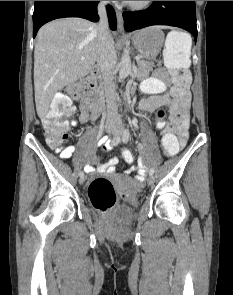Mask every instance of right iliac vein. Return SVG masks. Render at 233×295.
<instances>
[{"label": "right iliac vein", "instance_id": "63e3f726", "mask_svg": "<svg viewBox=\"0 0 233 295\" xmlns=\"http://www.w3.org/2000/svg\"><path fill=\"white\" fill-rule=\"evenodd\" d=\"M116 131H117V129L115 127H113V126H107L106 127V132L109 133V134H114L115 135ZM85 180H86V177L84 175V176L80 177L79 183L82 184V183H84Z\"/></svg>", "mask_w": 233, "mask_h": 295}]
</instances>
